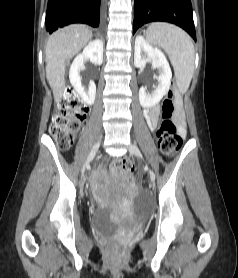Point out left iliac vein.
<instances>
[{
    "label": "left iliac vein",
    "instance_id": "4c4485c4",
    "mask_svg": "<svg viewBox=\"0 0 238 278\" xmlns=\"http://www.w3.org/2000/svg\"><path fill=\"white\" fill-rule=\"evenodd\" d=\"M129 152L137 157H141V152L139 148L137 147V145L133 143L129 146ZM149 176H150L151 185L153 186L155 181V174L151 169H149Z\"/></svg>",
    "mask_w": 238,
    "mask_h": 278
}]
</instances>
